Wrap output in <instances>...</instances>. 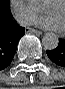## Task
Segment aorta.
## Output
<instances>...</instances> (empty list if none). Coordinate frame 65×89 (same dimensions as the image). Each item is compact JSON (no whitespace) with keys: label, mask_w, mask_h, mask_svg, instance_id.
Listing matches in <instances>:
<instances>
[{"label":"aorta","mask_w":65,"mask_h":89,"mask_svg":"<svg viewBox=\"0 0 65 89\" xmlns=\"http://www.w3.org/2000/svg\"><path fill=\"white\" fill-rule=\"evenodd\" d=\"M58 43V36L54 33H46L42 38V44L46 50H53L57 48Z\"/></svg>","instance_id":"aorta-1"}]
</instances>
